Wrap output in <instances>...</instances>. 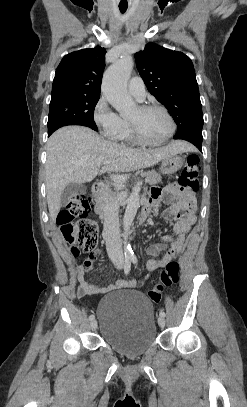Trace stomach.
Masks as SVG:
<instances>
[{
	"label": "stomach",
	"mask_w": 247,
	"mask_h": 407,
	"mask_svg": "<svg viewBox=\"0 0 247 407\" xmlns=\"http://www.w3.org/2000/svg\"><path fill=\"white\" fill-rule=\"evenodd\" d=\"M184 161L180 154L169 155L162 160L161 172L168 175L173 174L183 166Z\"/></svg>",
	"instance_id": "obj_1"
}]
</instances>
